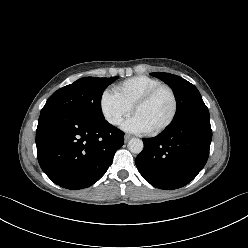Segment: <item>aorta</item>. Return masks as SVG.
<instances>
[{"instance_id":"obj_1","label":"aorta","mask_w":248,"mask_h":248,"mask_svg":"<svg viewBox=\"0 0 248 248\" xmlns=\"http://www.w3.org/2000/svg\"><path fill=\"white\" fill-rule=\"evenodd\" d=\"M128 149L130 150V152L134 153V154H139L142 152L144 144L143 141L139 138H132L129 142H128Z\"/></svg>"}]
</instances>
